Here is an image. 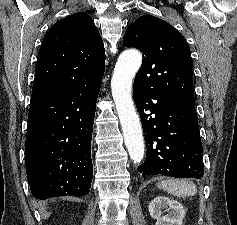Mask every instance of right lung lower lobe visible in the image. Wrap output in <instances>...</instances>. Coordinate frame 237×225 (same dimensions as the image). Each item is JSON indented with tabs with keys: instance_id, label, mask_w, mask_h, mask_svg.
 <instances>
[{
	"instance_id": "right-lung-lower-lobe-1",
	"label": "right lung lower lobe",
	"mask_w": 237,
	"mask_h": 225,
	"mask_svg": "<svg viewBox=\"0 0 237 225\" xmlns=\"http://www.w3.org/2000/svg\"><path fill=\"white\" fill-rule=\"evenodd\" d=\"M101 82L85 83L60 98L31 102L25 162L34 197L89 193L92 126Z\"/></svg>"
}]
</instances>
